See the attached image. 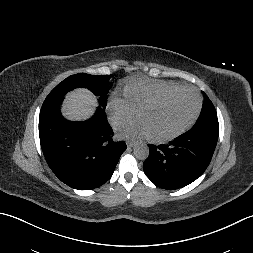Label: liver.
<instances>
[{
    "label": "liver",
    "mask_w": 253,
    "mask_h": 253,
    "mask_svg": "<svg viewBox=\"0 0 253 253\" xmlns=\"http://www.w3.org/2000/svg\"><path fill=\"white\" fill-rule=\"evenodd\" d=\"M97 105V100L90 91L77 89L65 97L62 112L70 120H85L94 113Z\"/></svg>",
    "instance_id": "liver-1"
}]
</instances>
